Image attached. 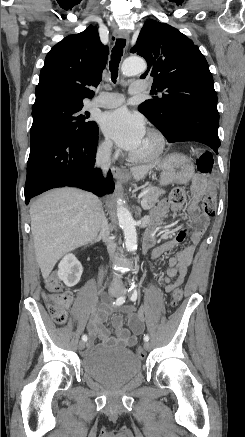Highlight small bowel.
Listing matches in <instances>:
<instances>
[{"mask_svg":"<svg viewBox=\"0 0 245 437\" xmlns=\"http://www.w3.org/2000/svg\"><path fill=\"white\" fill-rule=\"evenodd\" d=\"M206 188V181L200 176L195 177L191 187V198L187 205V212L191 218L192 227H181L173 239L164 242L152 253L151 260L155 261L162 254L172 251L178 244L189 239V244L182 251L171 256L169 259L167 273L164 278L166 283L165 291L167 293L183 284L193 261L196 246L200 242L208 226V215L202 213L198 206V200L204 195ZM182 209V204L163 201L159 205L150 230L154 233L159 221L167 217L170 210L179 212ZM153 270L156 271L154 267ZM108 316L109 313L105 309H98L93 313L88 324V331L91 338L94 339L98 337L103 345H115L123 348L133 346L136 343L137 337L144 329V309L139 308L135 311L133 308L129 307L124 310V313L115 315L112 322L116 332L115 337L112 336L110 330L104 326ZM125 317L127 318L130 330L122 325ZM94 347L95 346L91 341L88 345V350L91 351Z\"/></svg>","mask_w":245,"mask_h":437,"instance_id":"small-bowel-1","label":"small bowel"}]
</instances>
